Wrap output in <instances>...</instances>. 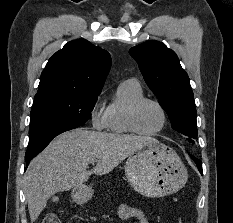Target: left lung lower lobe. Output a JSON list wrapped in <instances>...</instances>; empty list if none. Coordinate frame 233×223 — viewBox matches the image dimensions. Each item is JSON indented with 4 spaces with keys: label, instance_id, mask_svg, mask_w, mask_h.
I'll use <instances>...</instances> for the list:
<instances>
[{
    "label": "left lung lower lobe",
    "instance_id": "left-lung-lower-lobe-1",
    "mask_svg": "<svg viewBox=\"0 0 233 223\" xmlns=\"http://www.w3.org/2000/svg\"><path fill=\"white\" fill-rule=\"evenodd\" d=\"M191 156V158L195 161V163H196V165H197V167H198V170H199V172L201 173V175H203V170H202V163H201V161L198 159V158H196V157H194V156H192V155H190Z\"/></svg>",
    "mask_w": 233,
    "mask_h": 223
}]
</instances>
